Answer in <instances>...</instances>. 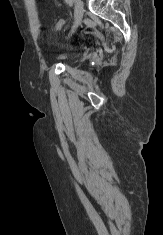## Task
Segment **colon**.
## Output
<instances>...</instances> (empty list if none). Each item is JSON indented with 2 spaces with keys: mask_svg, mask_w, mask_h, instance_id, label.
<instances>
[{
  "mask_svg": "<svg viewBox=\"0 0 163 235\" xmlns=\"http://www.w3.org/2000/svg\"><path fill=\"white\" fill-rule=\"evenodd\" d=\"M64 20L63 19H59V20H57L56 22H55V24H54V29H56V30H59V29H61L63 26H64Z\"/></svg>",
  "mask_w": 163,
  "mask_h": 235,
  "instance_id": "5ec220e1",
  "label": "colon"
}]
</instances>
